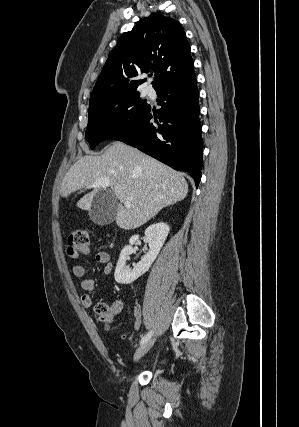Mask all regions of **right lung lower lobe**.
Listing matches in <instances>:
<instances>
[{
    "label": "right lung lower lobe",
    "mask_w": 299,
    "mask_h": 427,
    "mask_svg": "<svg viewBox=\"0 0 299 427\" xmlns=\"http://www.w3.org/2000/svg\"><path fill=\"white\" fill-rule=\"evenodd\" d=\"M155 90L162 106L155 118L158 117L162 124L150 122L149 107L133 127L114 139L136 147L176 170L190 173L198 186L203 141L195 74L166 81Z\"/></svg>",
    "instance_id": "98d812e1"
}]
</instances>
